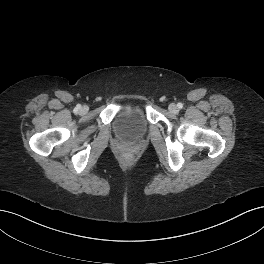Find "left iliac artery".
Here are the masks:
<instances>
[{
	"instance_id": "1",
	"label": "left iliac artery",
	"mask_w": 264,
	"mask_h": 264,
	"mask_svg": "<svg viewBox=\"0 0 264 264\" xmlns=\"http://www.w3.org/2000/svg\"><path fill=\"white\" fill-rule=\"evenodd\" d=\"M177 106H178V108L181 109L183 107V104L182 103H178Z\"/></svg>"
}]
</instances>
